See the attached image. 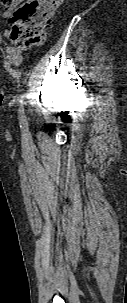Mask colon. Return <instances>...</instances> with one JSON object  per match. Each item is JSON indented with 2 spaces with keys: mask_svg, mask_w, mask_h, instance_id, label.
I'll return each mask as SVG.
<instances>
[{
  "mask_svg": "<svg viewBox=\"0 0 127 303\" xmlns=\"http://www.w3.org/2000/svg\"><path fill=\"white\" fill-rule=\"evenodd\" d=\"M63 0H26L11 16L10 37L17 49L41 45L46 30L52 24V18ZM3 6H12L15 0H0Z\"/></svg>",
  "mask_w": 127,
  "mask_h": 303,
  "instance_id": "colon-1",
  "label": "colon"
}]
</instances>
